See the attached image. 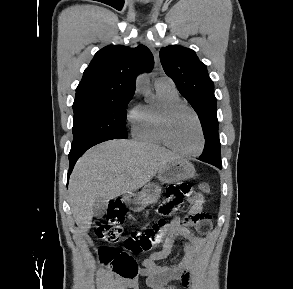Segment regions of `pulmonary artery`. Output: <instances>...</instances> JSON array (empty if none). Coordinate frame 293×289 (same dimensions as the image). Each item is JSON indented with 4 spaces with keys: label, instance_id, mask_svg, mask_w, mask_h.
Wrapping results in <instances>:
<instances>
[{
    "label": "pulmonary artery",
    "instance_id": "1",
    "mask_svg": "<svg viewBox=\"0 0 293 289\" xmlns=\"http://www.w3.org/2000/svg\"><path fill=\"white\" fill-rule=\"evenodd\" d=\"M155 87H171L175 88L174 82L167 76L157 78L155 81Z\"/></svg>",
    "mask_w": 293,
    "mask_h": 289
}]
</instances>
